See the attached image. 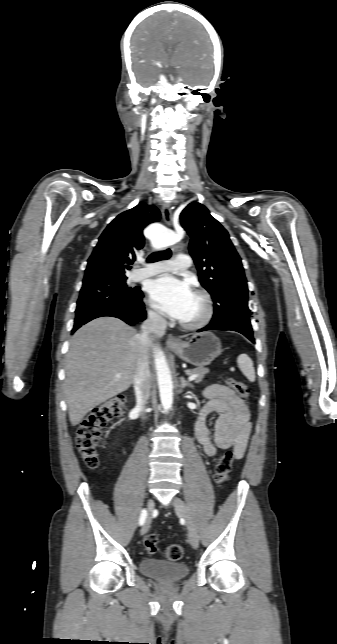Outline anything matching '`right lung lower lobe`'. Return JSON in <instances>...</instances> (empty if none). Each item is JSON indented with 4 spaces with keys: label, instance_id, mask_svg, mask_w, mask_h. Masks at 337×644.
Returning a JSON list of instances; mask_svg holds the SVG:
<instances>
[{
    "label": "right lung lower lobe",
    "instance_id": "1",
    "mask_svg": "<svg viewBox=\"0 0 337 644\" xmlns=\"http://www.w3.org/2000/svg\"><path fill=\"white\" fill-rule=\"evenodd\" d=\"M142 297L143 294L141 293L139 296L127 303L98 307L78 312L76 313L72 332H75L79 327L91 321L92 319L103 316L119 318L131 326L137 324L140 321H143L146 318V311L142 302Z\"/></svg>",
    "mask_w": 337,
    "mask_h": 644
}]
</instances>
